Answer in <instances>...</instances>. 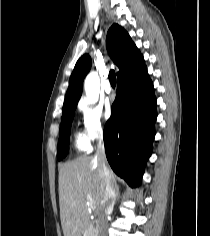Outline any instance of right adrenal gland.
Returning a JSON list of instances; mask_svg holds the SVG:
<instances>
[{
	"label": "right adrenal gland",
	"instance_id": "1",
	"mask_svg": "<svg viewBox=\"0 0 210 236\" xmlns=\"http://www.w3.org/2000/svg\"><path fill=\"white\" fill-rule=\"evenodd\" d=\"M115 190H116L117 197H120L119 186L117 184L115 185Z\"/></svg>",
	"mask_w": 210,
	"mask_h": 236
}]
</instances>
